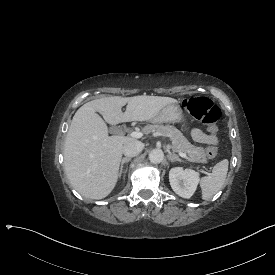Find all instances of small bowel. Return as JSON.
Returning a JSON list of instances; mask_svg holds the SVG:
<instances>
[{"instance_id": "small-bowel-1", "label": "small bowel", "mask_w": 275, "mask_h": 275, "mask_svg": "<svg viewBox=\"0 0 275 275\" xmlns=\"http://www.w3.org/2000/svg\"><path fill=\"white\" fill-rule=\"evenodd\" d=\"M192 138L194 141L202 144H209L211 141L209 135L198 128L192 130Z\"/></svg>"}]
</instances>
